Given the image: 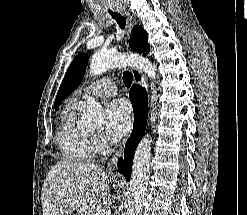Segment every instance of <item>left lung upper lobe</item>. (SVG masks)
I'll return each mask as SVG.
<instances>
[{
    "instance_id": "5c2ea615",
    "label": "left lung upper lobe",
    "mask_w": 247,
    "mask_h": 215,
    "mask_svg": "<svg viewBox=\"0 0 247 215\" xmlns=\"http://www.w3.org/2000/svg\"><path fill=\"white\" fill-rule=\"evenodd\" d=\"M147 37V32L141 26L136 25L131 32L129 46L138 52H149L150 45L147 42ZM88 59L87 54L80 53L72 61L55 99L56 110L59 109L62 101L80 84L88 65Z\"/></svg>"
}]
</instances>
